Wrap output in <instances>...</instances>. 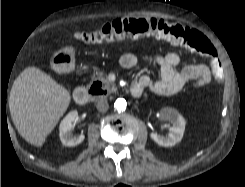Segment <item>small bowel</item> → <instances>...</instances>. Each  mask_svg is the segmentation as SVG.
Wrapping results in <instances>:
<instances>
[{"label":"small bowel","mask_w":245,"mask_h":187,"mask_svg":"<svg viewBox=\"0 0 245 187\" xmlns=\"http://www.w3.org/2000/svg\"><path fill=\"white\" fill-rule=\"evenodd\" d=\"M137 62V57L132 53H125L120 58V65L125 69L134 68ZM179 62V56L175 52L157 57L154 63L160 69V78L154 80L143 75L133 85H137L141 91L147 89L155 95L170 96L179 92L187 83L200 87L211 81V72L206 65H188L178 70Z\"/></svg>","instance_id":"1"}]
</instances>
